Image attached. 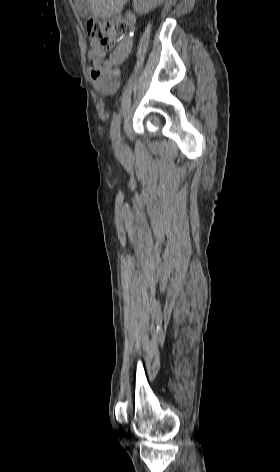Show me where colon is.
<instances>
[{
	"label": "colon",
	"instance_id": "colon-1",
	"mask_svg": "<svg viewBox=\"0 0 280 472\" xmlns=\"http://www.w3.org/2000/svg\"><path fill=\"white\" fill-rule=\"evenodd\" d=\"M132 24L125 19H115L110 22H100L89 19L86 22V31L93 48H111L117 38L130 34Z\"/></svg>",
	"mask_w": 280,
	"mask_h": 472
}]
</instances>
